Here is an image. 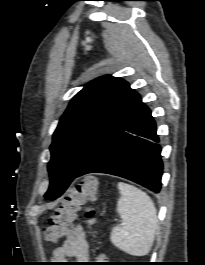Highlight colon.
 Listing matches in <instances>:
<instances>
[{
	"label": "colon",
	"instance_id": "1",
	"mask_svg": "<svg viewBox=\"0 0 205 265\" xmlns=\"http://www.w3.org/2000/svg\"><path fill=\"white\" fill-rule=\"evenodd\" d=\"M98 194V180L94 176L85 177L65 197L44 228V236L47 241L55 242L67 235L76 218L77 212L86 202L96 200ZM86 218L89 224L93 223V211L86 209Z\"/></svg>",
	"mask_w": 205,
	"mask_h": 265
}]
</instances>
